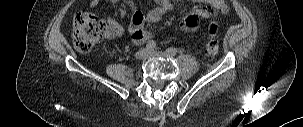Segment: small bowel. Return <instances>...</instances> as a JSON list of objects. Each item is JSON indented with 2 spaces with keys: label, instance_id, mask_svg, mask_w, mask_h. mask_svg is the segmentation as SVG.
<instances>
[{
  "label": "small bowel",
  "instance_id": "obj_1",
  "mask_svg": "<svg viewBox=\"0 0 303 127\" xmlns=\"http://www.w3.org/2000/svg\"><path fill=\"white\" fill-rule=\"evenodd\" d=\"M101 0H91L89 6L95 8ZM111 3H124L131 11L132 18L129 25V33L132 41L135 44H142L144 42L152 41L153 34L145 30L146 22H158L165 14L172 9L170 0H154L155 7L151 9L147 14L142 13L137 9L135 3L132 0H106ZM200 2L201 5H197L188 15H186L181 23L180 27L184 31H194L199 23L200 19H210L216 16L218 12H226L227 6L223 0H193ZM109 34L112 38L120 37L123 34V27L114 19H108Z\"/></svg>",
  "mask_w": 303,
  "mask_h": 127
}]
</instances>
